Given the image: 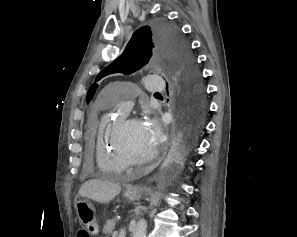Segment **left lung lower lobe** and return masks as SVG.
Wrapping results in <instances>:
<instances>
[{"label": "left lung lower lobe", "instance_id": "left-lung-lower-lobe-1", "mask_svg": "<svg viewBox=\"0 0 297 237\" xmlns=\"http://www.w3.org/2000/svg\"><path fill=\"white\" fill-rule=\"evenodd\" d=\"M177 109L182 127L173 142L172 157L175 161L182 159L195 146L207 110L206 104L199 106L184 94H180L177 100Z\"/></svg>", "mask_w": 297, "mask_h": 237}]
</instances>
